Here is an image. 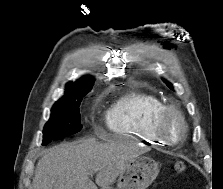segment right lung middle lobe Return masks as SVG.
<instances>
[{
  "label": "right lung middle lobe",
  "instance_id": "right-lung-middle-lobe-1",
  "mask_svg": "<svg viewBox=\"0 0 223 189\" xmlns=\"http://www.w3.org/2000/svg\"><path fill=\"white\" fill-rule=\"evenodd\" d=\"M86 92L62 97L52 110L51 117L43 130V143L46 145L52 140L62 139L79 132L82 129L80 103Z\"/></svg>",
  "mask_w": 223,
  "mask_h": 189
}]
</instances>
